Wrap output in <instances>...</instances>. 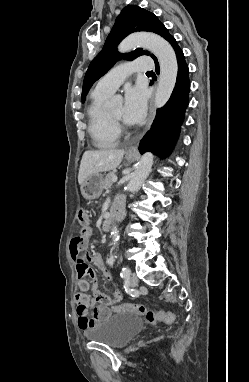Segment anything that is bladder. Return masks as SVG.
Segmentation results:
<instances>
[{"label": "bladder", "mask_w": 249, "mask_h": 382, "mask_svg": "<svg viewBox=\"0 0 249 382\" xmlns=\"http://www.w3.org/2000/svg\"><path fill=\"white\" fill-rule=\"evenodd\" d=\"M143 326V319L136 313L114 314L88 329L86 338L119 348L134 338Z\"/></svg>", "instance_id": "1"}]
</instances>
